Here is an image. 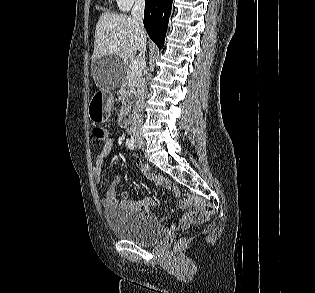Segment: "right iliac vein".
Returning <instances> with one entry per match:
<instances>
[{
	"label": "right iliac vein",
	"mask_w": 315,
	"mask_h": 293,
	"mask_svg": "<svg viewBox=\"0 0 315 293\" xmlns=\"http://www.w3.org/2000/svg\"><path fill=\"white\" fill-rule=\"evenodd\" d=\"M135 141L137 142V144L139 146H143L144 145V140L141 137H139V136H135Z\"/></svg>",
	"instance_id": "63e3f726"
}]
</instances>
